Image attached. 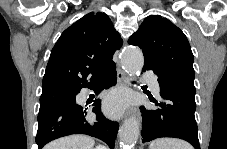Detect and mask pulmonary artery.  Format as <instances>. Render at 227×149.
<instances>
[{"mask_svg":"<svg viewBox=\"0 0 227 149\" xmlns=\"http://www.w3.org/2000/svg\"><path fill=\"white\" fill-rule=\"evenodd\" d=\"M141 77L148 80L149 85L155 94H159L160 91L159 83L153 75H151L148 72H145Z\"/></svg>","mask_w":227,"mask_h":149,"instance_id":"obj_1","label":"pulmonary artery"}]
</instances>
